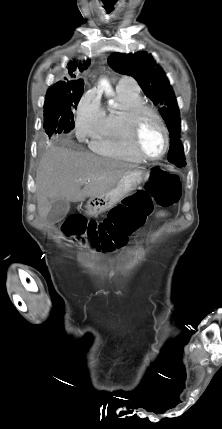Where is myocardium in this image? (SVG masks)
Instances as JSON below:
<instances>
[{
    "mask_svg": "<svg viewBox=\"0 0 222 429\" xmlns=\"http://www.w3.org/2000/svg\"><path fill=\"white\" fill-rule=\"evenodd\" d=\"M149 114L151 116H153L159 123L163 136H164V140H165V146L163 151L157 155V156H149L147 155L140 147L139 144V126H140V122L141 119L144 115ZM128 137H129V143L132 147V149L135 151V153L137 155H139L142 159L147 160V161H156V160H160L162 159L168 152L169 147H170V137H169V132L167 129V126L163 120V118L161 117V115L152 107L145 105V104H140L135 106L129 113L128 116Z\"/></svg>",
    "mask_w": 222,
    "mask_h": 429,
    "instance_id": "myocardium-1",
    "label": "myocardium"
}]
</instances>
